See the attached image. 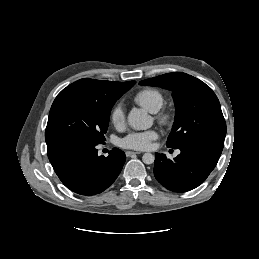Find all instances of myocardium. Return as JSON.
Here are the masks:
<instances>
[{"label": "myocardium", "instance_id": "myocardium-1", "mask_svg": "<svg viewBox=\"0 0 259 259\" xmlns=\"http://www.w3.org/2000/svg\"><path fill=\"white\" fill-rule=\"evenodd\" d=\"M156 120L161 125H170L174 120V114L168 109H162L157 113Z\"/></svg>", "mask_w": 259, "mask_h": 259}]
</instances>
